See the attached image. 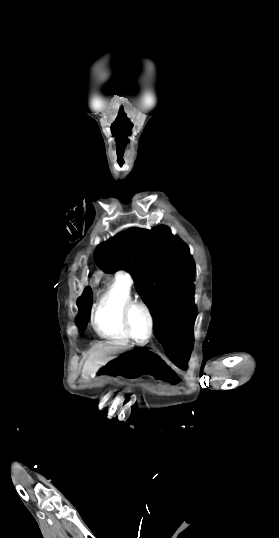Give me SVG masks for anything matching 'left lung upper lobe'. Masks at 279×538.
Returning <instances> with one entry per match:
<instances>
[{
	"label": "left lung upper lobe",
	"instance_id": "obj_1",
	"mask_svg": "<svg viewBox=\"0 0 279 538\" xmlns=\"http://www.w3.org/2000/svg\"><path fill=\"white\" fill-rule=\"evenodd\" d=\"M94 259L106 273L125 269L132 275L155 319L154 332H192L195 265L167 226L130 228L98 245Z\"/></svg>",
	"mask_w": 279,
	"mask_h": 538
}]
</instances>
